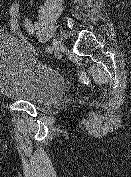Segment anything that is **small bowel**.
Instances as JSON below:
<instances>
[{"label": "small bowel", "instance_id": "1", "mask_svg": "<svg viewBox=\"0 0 131 177\" xmlns=\"http://www.w3.org/2000/svg\"><path fill=\"white\" fill-rule=\"evenodd\" d=\"M8 31L9 30H8V28L6 26L0 25V34H3V33L8 32Z\"/></svg>", "mask_w": 131, "mask_h": 177}]
</instances>
